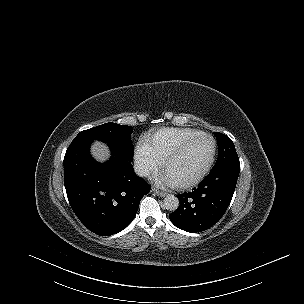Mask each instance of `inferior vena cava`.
Wrapping results in <instances>:
<instances>
[{
    "label": "inferior vena cava",
    "instance_id": "1",
    "mask_svg": "<svg viewBox=\"0 0 304 304\" xmlns=\"http://www.w3.org/2000/svg\"><path fill=\"white\" fill-rule=\"evenodd\" d=\"M134 171H135L136 175H138L140 177H147L151 173L149 167L143 163H135Z\"/></svg>",
    "mask_w": 304,
    "mask_h": 304
}]
</instances>
